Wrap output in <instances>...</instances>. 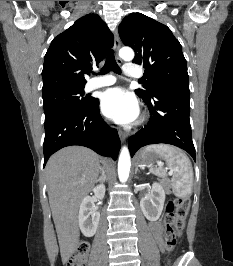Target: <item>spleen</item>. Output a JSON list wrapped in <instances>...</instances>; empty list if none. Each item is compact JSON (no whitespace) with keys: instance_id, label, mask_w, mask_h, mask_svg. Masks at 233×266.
I'll return each mask as SVG.
<instances>
[{"instance_id":"3e777b00","label":"spleen","mask_w":233,"mask_h":266,"mask_svg":"<svg viewBox=\"0 0 233 266\" xmlns=\"http://www.w3.org/2000/svg\"><path fill=\"white\" fill-rule=\"evenodd\" d=\"M145 152H155L166 162L167 167H162L163 163L158 164V168L152 170L155 175L167 177L171 175V186L173 192L178 197L191 195L193 185V168L187 155L180 149L166 144L149 145ZM167 169L170 172L167 174Z\"/></svg>"}]
</instances>
